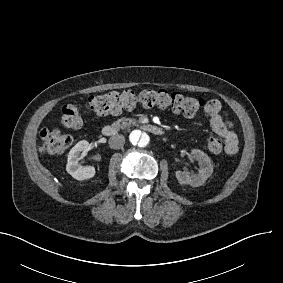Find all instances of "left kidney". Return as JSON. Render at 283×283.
<instances>
[{
	"label": "left kidney",
	"mask_w": 283,
	"mask_h": 283,
	"mask_svg": "<svg viewBox=\"0 0 283 283\" xmlns=\"http://www.w3.org/2000/svg\"><path fill=\"white\" fill-rule=\"evenodd\" d=\"M191 154L199 162L200 169L198 174L189 175L186 171L178 170L175 175L180 184H188L192 187H199L212 175L213 164L211 163V159L208 155L199 149H193Z\"/></svg>",
	"instance_id": "obj_1"
}]
</instances>
